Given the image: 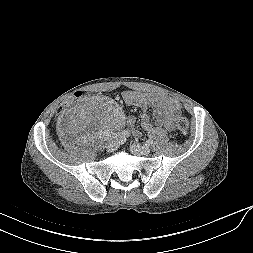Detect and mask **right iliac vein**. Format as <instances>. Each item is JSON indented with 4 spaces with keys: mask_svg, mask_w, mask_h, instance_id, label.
Segmentation results:
<instances>
[{
    "mask_svg": "<svg viewBox=\"0 0 253 253\" xmlns=\"http://www.w3.org/2000/svg\"><path fill=\"white\" fill-rule=\"evenodd\" d=\"M118 145H119V140L118 139L113 140V141L109 142V144L107 146V150L109 152H113L114 150L117 149Z\"/></svg>",
    "mask_w": 253,
    "mask_h": 253,
    "instance_id": "right-iliac-vein-1",
    "label": "right iliac vein"
}]
</instances>
